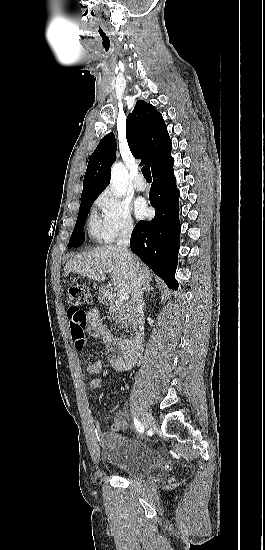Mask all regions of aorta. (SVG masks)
I'll list each match as a JSON object with an SVG mask.
<instances>
[{"label":"aorta","instance_id":"762f6f07","mask_svg":"<svg viewBox=\"0 0 265 550\" xmlns=\"http://www.w3.org/2000/svg\"><path fill=\"white\" fill-rule=\"evenodd\" d=\"M111 183L115 195L122 196L125 194L128 185V172L122 163H115L113 165Z\"/></svg>","mask_w":265,"mask_h":550}]
</instances>
